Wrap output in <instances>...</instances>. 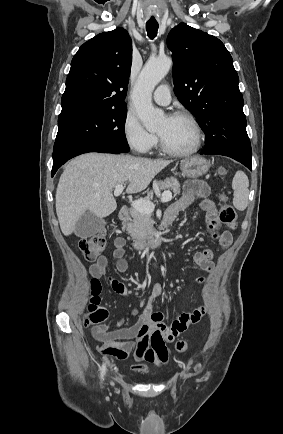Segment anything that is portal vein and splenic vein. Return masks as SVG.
Here are the masks:
<instances>
[{
    "label": "portal vein and splenic vein",
    "instance_id": "portal-vein-and-splenic-vein-1",
    "mask_svg": "<svg viewBox=\"0 0 283 434\" xmlns=\"http://www.w3.org/2000/svg\"><path fill=\"white\" fill-rule=\"evenodd\" d=\"M124 190L123 184L115 186L114 195L119 196ZM172 200V193L165 191L161 196V202H169ZM131 206L142 213H152L154 211V204L149 200H135L131 203Z\"/></svg>",
    "mask_w": 283,
    "mask_h": 434
}]
</instances>
